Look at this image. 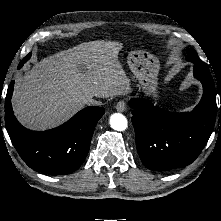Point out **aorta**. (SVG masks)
<instances>
[{
  "label": "aorta",
  "instance_id": "aorta-1",
  "mask_svg": "<svg viewBox=\"0 0 221 221\" xmlns=\"http://www.w3.org/2000/svg\"><path fill=\"white\" fill-rule=\"evenodd\" d=\"M128 122L126 117L120 113H114L110 116V126L117 131H124Z\"/></svg>",
  "mask_w": 221,
  "mask_h": 221
}]
</instances>
